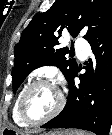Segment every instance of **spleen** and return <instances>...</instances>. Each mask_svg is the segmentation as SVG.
Segmentation results:
<instances>
[{
	"instance_id": "obj_1",
	"label": "spleen",
	"mask_w": 112,
	"mask_h": 135,
	"mask_svg": "<svg viewBox=\"0 0 112 135\" xmlns=\"http://www.w3.org/2000/svg\"><path fill=\"white\" fill-rule=\"evenodd\" d=\"M76 135H87V134L84 132H77Z\"/></svg>"
}]
</instances>
